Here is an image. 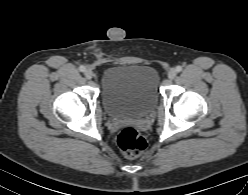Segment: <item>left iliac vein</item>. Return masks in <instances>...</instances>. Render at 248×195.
I'll return each instance as SVG.
<instances>
[{
  "label": "left iliac vein",
  "instance_id": "1",
  "mask_svg": "<svg viewBox=\"0 0 248 195\" xmlns=\"http://www.w3.org/2000/svg\"><path fill=\"white\" fill-rule=\"evenodd\" d=\"M176 75H177L176 69L172 68L169 70V72H168V78L169 79H174L176 77Z\"/></svg>",
  "mask_w": 248,
  "mask_h": 195
}]
</instances>
